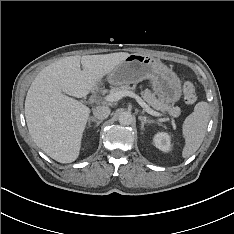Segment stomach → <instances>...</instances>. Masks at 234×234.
<instances>
[{"label":"stomach","instance_id":"stomach-1","mask_svg":"<svg viewBox=\"0 0 234 234\" xmlns=\"http://www.w3.org/2000/svg\"><path fill=\"white\" fill-rule=\"evenodd\" d=\"M107 79L114 86L149 79L155 97L169 107L180 100L183 92L182 81L172 68L143 54H130L108 73Z\"/></svg>","mask_w":234,"mask_h":234}]
</instances>
